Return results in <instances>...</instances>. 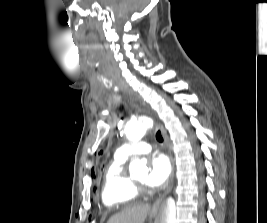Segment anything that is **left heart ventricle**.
I'll return each instance as SVG.
<instances>
[{
  "mask_svg": "<svg viewBox=\"0 0 267 223\" xmlns=\"http://www.w3.org/2000/svg\"><path fill=\"white\" fill-rule=\"evenodd\" d=\"M146 173H144L143 175H141L140 177L136 178L135 181L141 184H145L146 183Z\"/></svg>",
  "mask_w": 267,
  "mask_h": 223,
  "instance_id": "left-heart-ventricle-1",
  "label": "left heart ventricle"
}]
</instances>
